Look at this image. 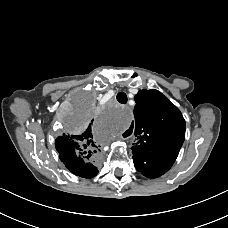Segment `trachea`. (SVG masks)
<instances>
[{
	"label": "trachea",
	"mask_w": 228,
	"mask_h": 228,
	"mask_svg": "<svg viewBox=\"0 0 228 228\" xmlns=\"http://www.w3.org/2000/svg\"><path fill=\"white\" fill-rule=\"evenodd\" d=\"M117 101L121 104H126L127 103V95L124 92H119L116 96Z\"/></svg>",
	"instance_id": "1"
}]
</instances>
